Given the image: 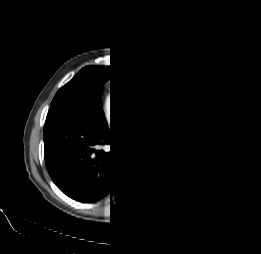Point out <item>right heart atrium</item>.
Returning a JSON list of instances; mask_svg holds the SVG:
<instances>
[{
    "mask_svg": "<svg viewBox=\"0 0 261 254\" xmlns=\"http://www.w3.org/2000/svg\"><path fill=\"white\" fill-rule=\"evenodd\" d=\"M108 115L112 127L117 129L122 128L132 118V113L124 98L109 101Z\"/></svg>",
    "mask_w": 261,
    "mask_h": 254,
    "instance_id": "right-heart-atrium-1",
    "label": "right heart atrium"
}]
</instances>
